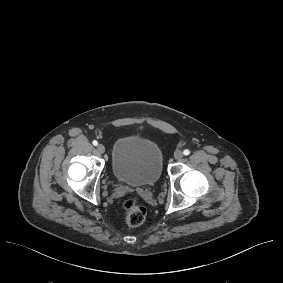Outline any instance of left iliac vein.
Listing matches in <instances>:
<instances>
[{"mask_svg":"<svg viewBox=\"0 0 283 283\" xmlns=\"http://www.w3.org/2000/svg\"><path fill=\"white\" fill-rule=\"evenodd\" d=\"M182 157H183V152H182V151L177 150V151L174 153V158H175L176 160H180Z\"/></svg>","mask_w":283,"mask_h":283,"instance_id":"1","label":"left iliac vein"}]
</instances>
